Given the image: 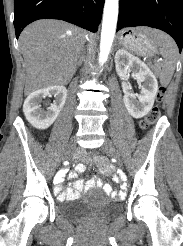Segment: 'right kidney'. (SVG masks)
<instances>
[{"label": "right kidney", "instance_id": "ca27d5eb", "mask_svg": "<svg viewBox=\"0 0 183 246\" xmlns=\"http://www.w3.org/2000/svg\"><path fill=\"white\" fill-rule=\"evenodd\" d=\"M54 96L55 100L47 110L41 108L46 97ZM67 97V89L62 85H55L36 90L28 95L23 105V112L28 122L37 129H47L57 119Z\"/></svg>", "mask_w": 183, "mask_h": 246}]
</instances>
